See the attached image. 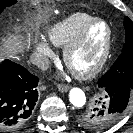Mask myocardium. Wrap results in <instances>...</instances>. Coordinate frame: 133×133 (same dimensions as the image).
Instances as JSON below:
<instances>
[{
  "instance_id": "obj_1",
  "label": "myocardium",
  "mask_w": 133,
  "mask_h": 133,
  "mask_svg": "<svg viewBox=\"0 0 133 133\" xmlns=\"http://www.w3.org/2000/svg\"><path fill=\"white\" fill-rule=\"evenodd\" d=\"M97 23L104 24L107 29V39L105 43V47L103 53L99 60L95 63L93 67L86 71H75L70 67V58L73 52L82 44L86 34L88 33L89 29ZM112 41H113V31L111 25L104 19L94 17L90 21H88L77 33V35L64 47L63 50V61L65 65L72 71L75 77L81 80H86L95 77L98 75L103 68L105 67L106 63L108 62L111 48H112Z\"/></svg>"
}]
</instances>
